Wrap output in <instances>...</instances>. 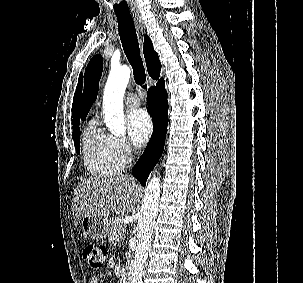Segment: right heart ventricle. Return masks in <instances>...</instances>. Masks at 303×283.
<instances>
[{"mask_svg":"<svg viewBox=\"0 0 303 283\" xmlns=\"http://www.w3.org/2000/svg\"><path fill=\"white\" fill-rule=\"evenodd\" d=\"M82 151L85 166L93 176L112 177L124 167L125 163L114 149L112 136L99 128L95 118L87 123L83 131Z\"/></svg>","mask_w":303,"mask_h":283,"instance_id":"obj_1","label":"right heart ventricle"}]
</instances>
